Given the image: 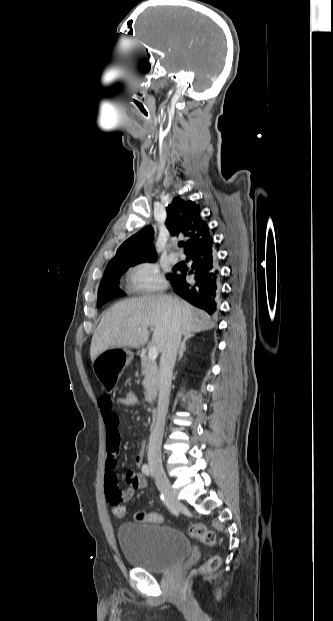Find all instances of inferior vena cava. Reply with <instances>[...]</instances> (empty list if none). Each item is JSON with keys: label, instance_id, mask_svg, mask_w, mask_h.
<instances>
[{"label": "inferior vena cava", "instance_id": "inferior-vena-cava-1", "mask_svg": "<svg viewBox=\"0 0 333 621\" xmlns=\"http://www.w3.org/2000/svg\"><path fill=\"white\" fill-rule=\"evenodd\" d=\"M182 332L174 321L166 337L164 349L160 359L158 415L154 429L151 432L148 445V462L162 464L161 444L168 412L171 378L176 361L177 351L181 342Z\"/></svg>", "mask_w": 333, "mask_h": 621}]
</instances>
